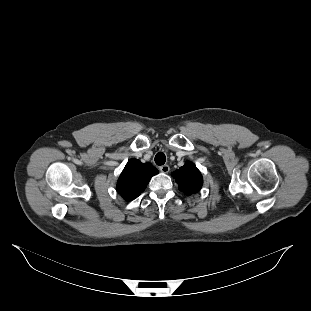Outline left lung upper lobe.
<instances>
[{
  "label": "left lung upper lobe",
  "mask_w": 311,
  "mask_h": 311,
  "mask_svg": "<svg viewBox=\"0 0 311 311\" xmlns=\"http://www.w3.org/2000/svg\"><path fill=\"white\" fill-rule=\"evenodd\" d=\"M173 177L178 183L179 190L188 196L197 193L203 184L202 175L192 162H186L173 173Z\"/></svg>",
  "instance_id": "1"
}]
</instances>
